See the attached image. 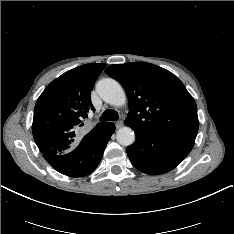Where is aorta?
Here are the masks:
<instances>
[{
	"label": "aorta",
	"mask_w": 234,
	"mask_h": 234,
	"mask_svg": "<svg viewBox=\"0 0 234 234\" xmlns=\"http://www.w3.org/2000/svg\"><path fill=\"white\" fill-rule=\"evenodd\" d=\"M98 95L103 101L113 106L126 103V95L121 85L114 79L105 78L96 85ZM116 139L123 146H130L135 141V134L130 127L124 126L117 131Z\"/></svg>",
	"instance_id": "aorta-1"
}]
</instances>
